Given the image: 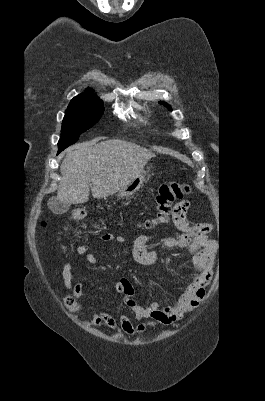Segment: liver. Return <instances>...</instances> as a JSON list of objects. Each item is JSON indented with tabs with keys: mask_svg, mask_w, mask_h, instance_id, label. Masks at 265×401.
Here are the masks:
<instances>
[{
	"mask_svg": "<svg viewBox=\"0 0 265 401\" xmlns=\"http://www.w3.org/2000/svg\"><path fill=\"white\" fill-rule=\"evenodd\" d=\"M101 138L104 136L67 148L60 164L62 180L57 190L58 201L70 205L87 203L90 188L94 198L109 196L131 182L147 160L156 156L152 150L129 140Z\"/></svg>",
	"mask_w": 265,
	"mask_h": 401,
	"instance_id": "6515ba94",
	"label": "liver"
}]
</instances>
